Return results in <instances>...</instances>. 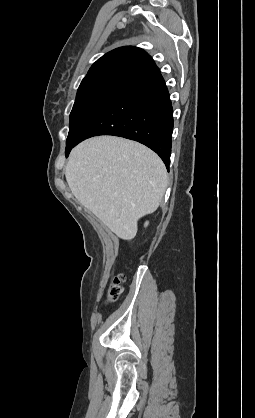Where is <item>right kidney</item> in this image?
<instances>
[{"label":"right kidney","mask_w":255,"mask_h":418,"mask_svg":"<svg viewBox=\"0 0 255 418\" xmlns=\"http://www.w3.org/2000/svg\"><path fill=\"white\" fill-rule=\"evenodd\" d=\"M148 225V223H145V226H147Z\"/></svg>","instance_id":"right-kidney-1"}]
</instances>
